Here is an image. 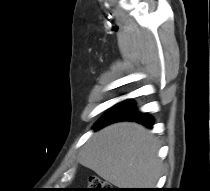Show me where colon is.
Returning a JSON list of instances; mask_svg holds the SVG:
<instances>
[{
  "mask_svg": "<svg viewBox=\"0 0 210 191\" xmlns=\"http://www.w3.org/2000/svg\"><path fill=\"white\" fill-rule=\"evenodd\" d=\"M86 191H112V189L102 179L92 177Z\"/></svg>",
  "mask_w": 210,
  "mask_h": 191,
  "instance_id": "obj_1",
  "label": "colon"
}]
</instances>
